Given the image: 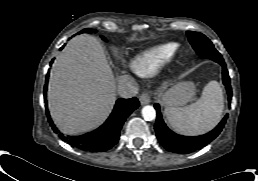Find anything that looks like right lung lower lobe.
I'll use <instances>...</instances> for the list:
<instances>
[{"label": "right lung lower lobe", "mask_w": 258, "mask_h": 181, "mask_svg": "<svg viewBox=\"0 0 258 181\" xmlns=\"http://www.w3.org/2000/svg\"><path fill=\"white\" fill-rule=\"evenodd\" d=\"M64 47V46H63ZM61 47V49L63 48ZM53 62V60H52ZM50 63V65L52 64ZM48 84V75L46 77V83L44 87V98L46 99V91ZM139 106L137 98L131 99H118L113 112L106 122L98 129L81 135V136H64L60 133L53 124L48 109H46L48 120L56 133H59V137L70 144L83 151L91 152H104L111 149L119 140L120 130L126 118ZM47 107V105H46Z\"/></svg>", "instance_id": "right-lung-lower-lobe-1"}]
</instances>
